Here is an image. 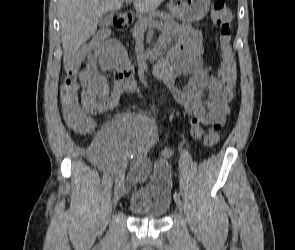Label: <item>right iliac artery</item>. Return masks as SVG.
<instances>
[{
  "label": "right iliac artery",
  "instance_id": "82829eb1",
  "mask_svg": "<svg viewBox=\"0 0 295 250\" xmlns=\"http://www.w3.org/2000/svg\"><path fill=\"white\" fill-rule=\"evenodd\" d=\"M123 179H124V175L122 173L119 174V176L116 178V181H115L116 186H119L123 182Z\"/></svg>",
  "mask_w": 295,
  "mask_h": 250
}]
</instances>
